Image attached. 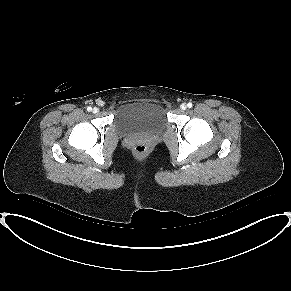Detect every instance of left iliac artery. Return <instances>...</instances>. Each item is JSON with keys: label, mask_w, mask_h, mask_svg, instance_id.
<instances>
[{"label": "left iliac artery", "mask_w": 291, "mask_h": 291, "mask_svg": "<svg viewBox=\"0 0 291 291\" xmlns=\"http://www.w3.org/2000/svg\"><path fill=\"white\" fill-rule=\"evenodd\" d=\"M187 106H188V108H191L193 105H192V103L189 102V103L187 104Z\"/></svg>", "instance_id": "1"}]
</instances>
